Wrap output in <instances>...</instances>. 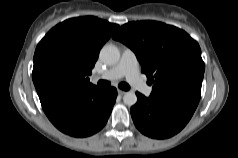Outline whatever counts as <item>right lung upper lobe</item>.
<instances>
[{"label": "right lung upper lobe", "instance_id": "1", "mask_svg": "<svg viewBox=\"0 0 238 158\" xmlns=\"http://www.w3.org/2000/svg\"><path fill=\"white\" fill-rule=\"evenodd\" d=\"M119 25L93 16L68 19L52 28L34 54L33 82L43 86L91 88L88 75L99 51Z\"/></svg>", "mask_w": 238, "mask_h": 158}]
</instances>
